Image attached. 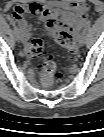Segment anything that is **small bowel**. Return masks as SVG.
<instances>
[{"mask_svg":"<svg viewBox=\"0 0 104 137\" xmlns=\"http://www.w3.org/2000/svg\"><path fill=\"white\" fill-rule=\"evenodd\" d=\"M27 13L39 14L48 28L52 25H61L77 33L88 19L89 7L82 2L63 0H46L42 4L29 3L15 6L9 19L21 32L24 51L30 56V24L25 18Z\"/></svg>","mask_w":104,"mask_h":137,"instance_id":"c3829d8e","label":"small bowel"}]
</instances>
